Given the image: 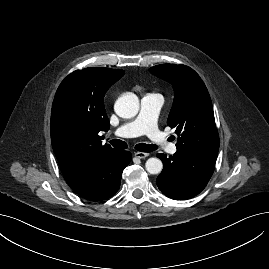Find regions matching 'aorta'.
Masks as SVG:
<instances>
[{
  "label": "aorta",
  "mask_w": 269,
  "mask_h": 269,
  "mask_svg": "<svg viewBox=\"0 0 269 269\" xmlns=\"http://www.w3.org/2000/svg\"><path fill=\"white\" fill-rule=\"evenodd\" d=\"M115 112L121 118H132L139 111V99L133 93H125L115 103ZM145 167L150 174H159L163 169L162 161L158 158H149Z\"/></svg>",
  "instance_id": "obj_1"
}]
</instances>
